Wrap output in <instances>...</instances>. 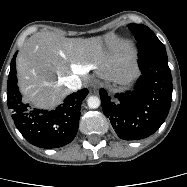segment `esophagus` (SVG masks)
<instances>
[{
  "label": "esophagus",
  "instance_id": "esophagus-1",
  "mask_svg": "<svg viewBox=\"0 0 187 187\" xmlns=\"http://www.w3.org/2000/svg\"><path fill=\"white\" fill-rule=\"evenodd\" d=\"M91 87H92V89L93 90H97V89H99L100 87H102V83H101V81H99V80H92V82H91Z\"/></svg>",
  "mask_w": 187,
  "mask_h": 187
}]
</instances>
